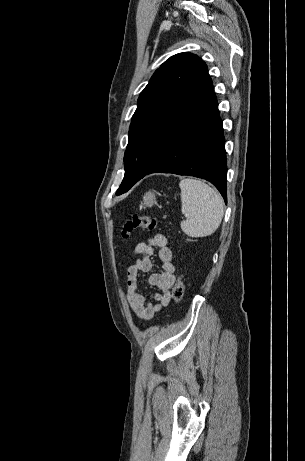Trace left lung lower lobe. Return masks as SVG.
I'll list each match as a JSON object with an SVG mask.
<instances>
[{"mask_svg": "<svg viewBox=\"0 0 305 461\" xmlns=\"http://www.w3.org/2000/svg\"><path fill=\"white\" fill-rule=\"evenodd\" d=\"M151 173L206 179L226 202L225 140L208 72L157 133L150 166L137 181Z\"/></svg>", "mask_w": 305, "mask_h": 461, "instance_id": "obj_1", "label": "left lung lower lobe"}]
</instances>
